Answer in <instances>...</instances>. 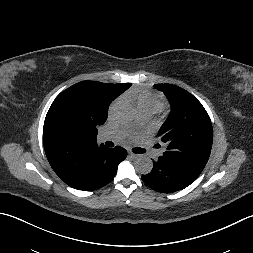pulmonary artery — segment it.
<instances>
[{
    "label": "pulmonary artery",
    "mask_w": 253,
    "mask_h": 253,
    "mask_svg": "<svg viewBox=\"0 0 253 253\" xmlns=\"http://www.w3.org/2000/svg\"><path fill=\"white\" fill-rule=\"evenodd\" d=\"M152 115H153L152 112L144 111V112L140 113V118L143 121H147L151 118ZM98 139L101 142H106V141H110V140H119L120 136H113L109 133H102V134L99 135Z\"/></svg>",
    "instance_id": "obj_1"
}]
</instances>
